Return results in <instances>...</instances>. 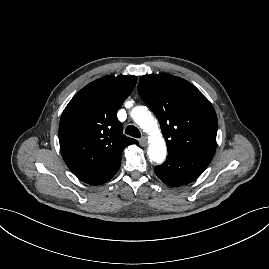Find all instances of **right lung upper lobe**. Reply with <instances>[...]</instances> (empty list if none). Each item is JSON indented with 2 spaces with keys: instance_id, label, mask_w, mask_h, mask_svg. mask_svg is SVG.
<instances>
[{
  "instance_id": "cb5924a9",
  "label": "right lung upper lobe",
  "mask_w": 269,
  "mask_h": 269,
  "mask_svg": "<svg viewBox=\"0 0 269 269\" xmlns=\"http://www.w3.org/2000/svg\"><path fill=\"white\" fill-rule=\"evenodd\" d=\"M136 76H105L82 88L64 109L59 124L62 157L85 183L110 180L121 164L123 149L138 141L122 133L117 111L131 94Z\"/></svg>"
}]
</instances>
